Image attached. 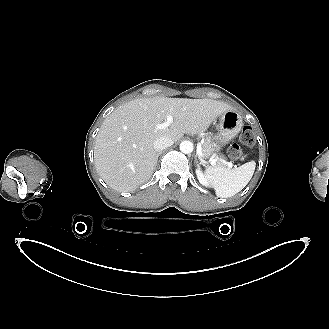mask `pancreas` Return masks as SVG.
<instances>
[{
	"label": "pancreas",
	"instance_id": "pancreas-1",
	"mask_svg": "<svg viewBox=\"0 0 329 329\" xmlns=\"http://www.w3.org/2000/svg\"><path fill=\"white\" fill-rule=\"evenodd\" d=\"M217 148V144L213 141L211 137H208L203 145V153L205 155H214V151Z\"/></svg>",
	"mask_w": 329,
	"mask_h": 329
}]
</instances>
